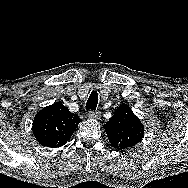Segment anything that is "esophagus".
I'll return each instance as SVG.
<instances>
[{
    "instance_id": "esophagus-1",
    "label": "esophagus",
    "mask_w": 188,
    "mask_h": 188,
    "mask_svg": "<svg viewBox=\"0 0 188 188\" xmlns=\"http://www.w3.org/2000/svg\"><path fill=\"white\" fill-rule=\"evenodd\" d=\"M88 117L93 118V119H99L100 118V112L91 110V111L88 112Z\"/></svg>"
}]
</instances>
